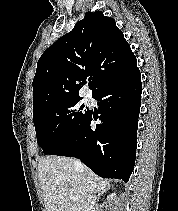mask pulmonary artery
<instances>
[{
	"instance_id": "obj_1",
	"label": "pulmonary artery",
	"mask_w": 178,
	"mask_h": 211,
	"mask_svg": "<svg viewBox=\"0 0 178 211\" xmlns=\"http://www.w3.org/2000/svg\"><path fill=\"white\" fill-rule=\"evenodd\" d=\"M86 100H87L88 102H90V101H91V97H90V96H87V97H86Z\"/></svg>"
}]
</instances>
